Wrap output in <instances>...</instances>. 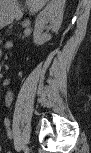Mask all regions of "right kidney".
<instances>
[{
    "label": "right kidney",
    "mask_w": 91,
    "mask_h": 153,
    "mask_svg": "<svg viewBox=\"0 0 91 153\" xmlns=\"http://www.w3.org/2000/svg\"><path fill=\"white\" fill-rule=\"evenodd\" d=\"M65 0H51L49 4L39 13L35 21L34 42L43 45L51 39V35L42 33L44 27L49 23L53 32H57L62 24Z\"/></svg>",
    "instance_id": "obj_1"
}]
</instances>
